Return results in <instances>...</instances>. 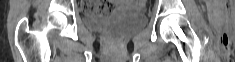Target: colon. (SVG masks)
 <instances>
[{"label":"colon","mask_w":235,"mask_h":62,"mask_svg":"<svg viewBox=\"0 0 235 62\" xmlns=\"http://www.w3.org/2000/svg\"><path fill=\"white\" fill-rule=\"evenodd\" d=\"M141 4L144 3V1H140ZM88 9L91 11V12H94V13H100L102 12V10L100 9V7H98L97 9H93V8H89Z\"/></svg>","instance_id":"obj_1"}]
</instances>
